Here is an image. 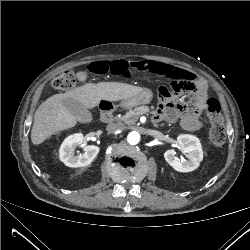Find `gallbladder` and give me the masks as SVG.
Listing matches in <instances>:
<instances>
[{
    "label": "gallbladder",
    "instance_id": "obj_1",
    "mask_svg": "<svg viewBox=\"0 0 250 250\" xmlns=\"http://www.w3.org/2000/svg\"><path fill=\"white\" fill-rule=\"evenodd\" d=\"M63 105L79 122L85 123L91 121V113L81 103L67 98L63 100Z\"/></svg>",
    "mask_w": 250,
    "mask_h": 250
}]
</instances>
